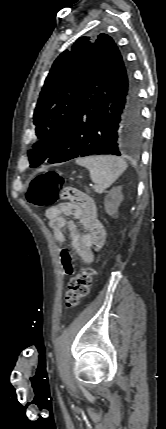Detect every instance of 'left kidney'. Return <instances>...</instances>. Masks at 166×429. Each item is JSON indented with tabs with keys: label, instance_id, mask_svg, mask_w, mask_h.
Listing matches in <instances>:
<instances>
[{
	"label": "left kidney",
	"instance_id": "1",
	"mask_svg": "<svg viewBox=\"0 0 166 429\" xmlns=\"http://www.w3.org/2000/svg\"><path fill=\"white\" fill-rule=\"evenodd\" d=\"M123 201L122 187L118 186L110 190L104 200L105 211L108 215L115 217L118 208Z\"/></svg>",
	"mask_w": 166,
	"mask_h": 429
}]
</instances>
